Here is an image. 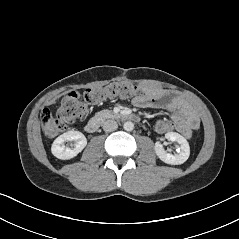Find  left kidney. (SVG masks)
Returning a JSON list of instances; mask_svg holds the SVG:
<instances>
[{"instance_id":"1","label":"left kidney","mask_w":239,"mask_h":239,"mask_svg":"<svg viewBox=\"0 0 239 239\" xmlns=\"http://www.w3.org/2000/svg\"><path fill=\"white\" fill-rule=\"evenodd\" d=\"M165 138L169 141L176 142L179 144L178 153L177 154H170L167 153L162 144L160 142H156L154 149L156 155L159 157L160 160L167 164L171 165H180L183 164L190 155V147L187 140L176 132H168L165 134Z\"/></svg>"}]
</instances>
